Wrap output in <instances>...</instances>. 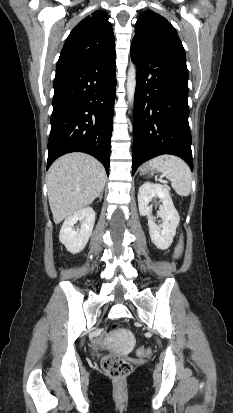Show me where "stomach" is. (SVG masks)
<instances>
[{
  "label": "stomach",
  "instance_id": "1",
  "mask_svg": "<svg viewBox=\"0 0 233 413\" xmlns=\"http://www.w3.org/2000/svg\"><path fill=\"white\" fill-rule=\"evenodd\" d=\"M140 174L141 175H146V174H153V169L149 166V165H144L141 169H140Z\"/></svg>",
  "mask_w": 233,
  "mask_h": 413
}]
</instances>
